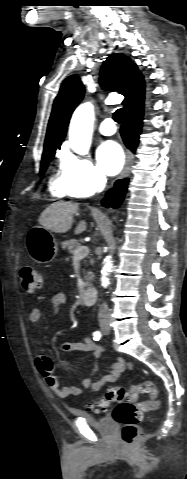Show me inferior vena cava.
Listing matches in <instances>:
<instances>
[{"label": "inferior vena cava", "mask_w": 187, "mask_h": 479, "mask_svg": "<svg viewBox=\"0 0 187 479\" xmlns=\"http://www.w3.org/2000/svg\"><path fill=\"white\" fill-rule=\"evenodd\" d=\"M105 179L103 178L100 182V186H103ZM110 316L109 308L106 303L102 304L99 309L98 318L99 320L107 319Z\"/></svg>", "instance_id": "obj_1"}]
</instances>
